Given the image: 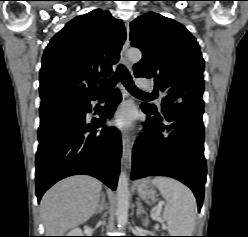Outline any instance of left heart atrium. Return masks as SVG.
<instances>
[{
	"label": "left heart atrium",
	"instance_id": "obj_1",
	"mask_svg": "<svg viewBox=\"0 0 248 237\" xmlns=\"http://www.w3.org/2000/svg\"><path fill=\"white\" fill-rule=\"evenodd\" d=\"M133 114L129 105L121 106L110 119V125L125 130L132 126Z\"/></svg>",
	"mask_w": 248,
	"mask_h": 237
}]
</instances>
